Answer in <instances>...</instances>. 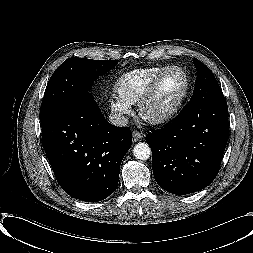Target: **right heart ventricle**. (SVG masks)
Wrapping results in <instances>:
<instances>
[{
  "label": "right heart ventricle",
  "mask_w": 253,
  "mask_h": 253,
  "mask_svg": "<svg viewBox=\"0 0 253 253\" xmlns=\"http://www.w3.org/2000/svg\"><path fill=\"white\" fill-rule=\"evenodd\" d=\"M171 66H154L135 69L122 74L116 84L118 97L130 105L138 103L152 80Z\"/></svg>",
  "instance_id": "right-heart-ventricle-1"
}]
</instances>
